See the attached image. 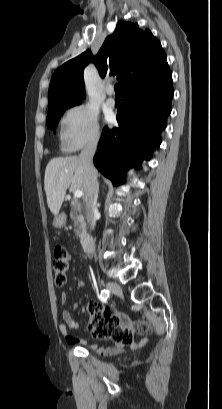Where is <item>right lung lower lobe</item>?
<instances>
[{"instance_id": "1", "label": "right lung lower lobe", "mask_w": 222, "mask_h": 409, "mask_svg": "<svg viewBox=\"0 0 222 409\" xmlns=\"http://www.w3.org/2000/svg\"><path fill=\"white\" fill-rule=\"evenodd\" d=\"M174 89L170 69L152 78L139 79L121 96L118 127L104 128L94 164L114 186L124 182L130 167L150 159L161 143V131L171 112Z\"/></svg>"}]
</instances>
